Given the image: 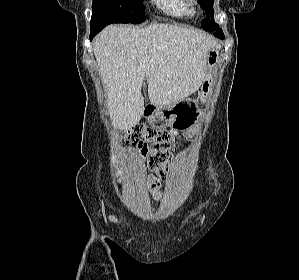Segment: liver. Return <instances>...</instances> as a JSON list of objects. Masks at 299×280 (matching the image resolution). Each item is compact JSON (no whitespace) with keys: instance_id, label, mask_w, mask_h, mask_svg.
I'll list each match as a JSON object with an SVG mask.
<instances>
[{"instance_id":"6515ba94","label":"liver","mask_w":299,"mask_h":280,"mask_svg":"<svg viewBox=\"0 0 299 280\" xmlns=\"http://www.w3.org/2000/svg\"><path fill=\"white\" fill-rule=\"evenodd\" d=\"M218 47L205 34L178 25L106 27L94 42V55L112 125L128 130L140 121L145 80L155 106L170 105L195 93L205 80L208 52Z\"/></svg>"}]
</instances>
